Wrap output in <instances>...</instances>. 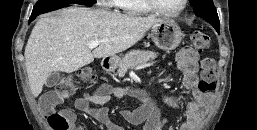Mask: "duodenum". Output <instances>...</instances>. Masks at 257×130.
<instances>
[{"label": "duodenum", "mask_w": 257, "mask_h": 130, "mask_svg": "<svg viewBox=\"0 0 257 130\" xmlns=\"http://www.w3.org/2000/svg\"><path fill=\"white\" fill-rule=\"evenodd\" d=\"M110 66H111L110 62H106V63H105V67H106V68H110Z\"/></svg>", "instance_id": "410a0bca"}]
</instances>
